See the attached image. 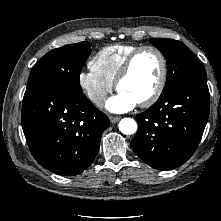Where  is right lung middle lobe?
<instances>
[{
  "label": "right lung middle lobe",
  "instance_id": "obj_1",
  "mask_svg": "<svg viewBox=\"0 0 221 221\" xmlns=\"http://www.w3.org/2000/svg\"><path fill=\"white\" fill-rule=\"evenodd\" d=\"M90 52L91 44L86 41L53 49L36 64L28 85L82 92L79 77Z\"/></svg>",
  "mask_w": 221,
  "mask_h": 221
}]
</instances>
